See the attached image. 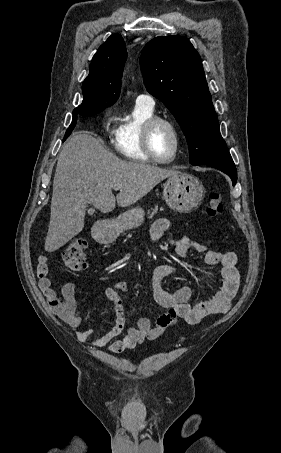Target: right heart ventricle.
I'll list each match as a JSON object with an SVG mask.
<instances>
[{"label":"right heart ventricle","mask_w":281,"mask_h":453,"mask_svg":"<svg viewBox=\"0 0 281 453\" xmlns=\"http://www.w3.org/2000/svg\"><path fill=\"white\" fill-rule=\"evenodd\" d=\"M156 117L149 101L136 100L131 110L120 115L113 141L116 152L124 159L151 161L143 146V131L147 121Z\"/></svg>","instance_id":"right-heart-ventricle-1"}]
</instances>
